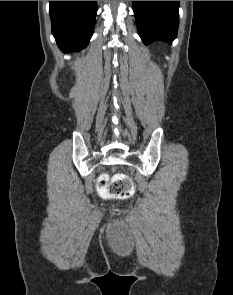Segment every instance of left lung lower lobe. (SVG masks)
Here are the masks:
<instances>
[{"label": "left lung lower lobe", "mask_w": 233, "mask_h": 295, "mask_svg": "<svg viewBox=\"0 0 233 295\" xmlns=\"http://www.w3.org/2000/svg\"><path fill=\"white\" fill-rule=\"evenodd\" d=\"M139 36L148 45L154 41L171 44L177 36L179 1H133Z\"/></svg>", "instance_id": "obj_1"}]
</instances>
